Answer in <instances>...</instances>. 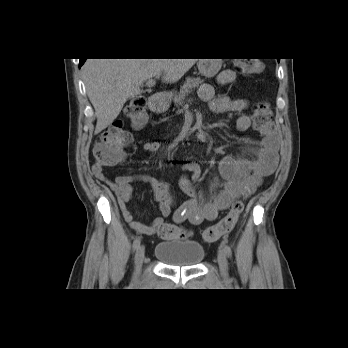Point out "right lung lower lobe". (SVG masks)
I'll list each match as a JSON object with an SVG mask.
<instances>
[{
    "mask_svg": "<svg viewBox=\"0 0 348 348\" xmlns=\"http://www.w3.org/2000/svg\"><path fill=\"white\" fill-rule=\"evenodd\" d=\"M86 59H80V67L83 65Z\"/></svg>",
    "mask_w": 348,
    "mask_h": 348,
    "instance_id": "98d812e1",
    "label": "right lung lower lobe"
}]
</instances>
